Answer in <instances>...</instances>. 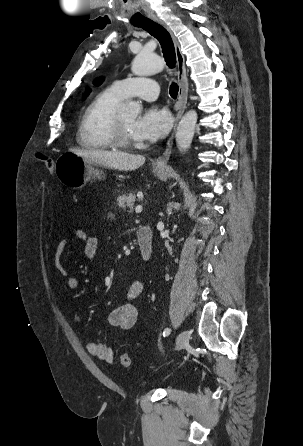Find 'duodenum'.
I'll return each instance as SVG.
<instances>
[{
  "label": "duodenum",
  "instance_id": "410a0bca",
  "mask_svg": "<svg viewBox=\"0 0 303 446\" xmlns=\"http://www.w3.org/2000/svg\"><path fill=\"white\" fill-rule=\"evenodd\" d=\"M137 242L142 259L150 260L153 254V236L149 227H143L138 231Z\"/></svg>",
  "mask_w": 303,
  "mask_h": 446
}]
</instances>
